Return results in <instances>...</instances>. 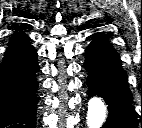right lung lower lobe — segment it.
<instances>
[{
  "label": "right lung lower lobe",
  "mask_w": 142,
  "mask_h": 128,
  "mask_svg": "<svg viewBox=\"0 0 142 128\" xmlns=\"http://www.w3.org/2000/svg\"><path fill=\"white\" fill-rule=\"evenodd\" d=\"M39 71L37 51L29 43L6 56L0 66V128H35Z\"/></svg>",
  "instance_id": "right-lung-lower-lobe-1"
}]
</instances>
